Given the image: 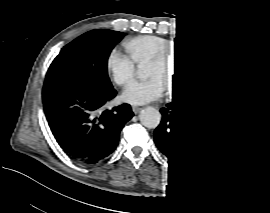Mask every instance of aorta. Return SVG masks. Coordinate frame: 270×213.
Wrapping results in <instances>:
<instances>
[{
	"instance_id": "aorta-1",
	"label": "aorta",
	"mask_w": 270,
	"mask_h": 213,
	"mask_svg": "<svg viewBox=\"0 0 270 213\" xmlns=\"http://www.w3.org/2000/svg\"><path fill=\"white\" fill-rule=\"evenodd\" d=\"M141 123L149 128H155L160 121V114L154 107H146L140 113Z\"/></svg>"
}]
</instances>
